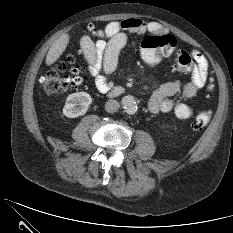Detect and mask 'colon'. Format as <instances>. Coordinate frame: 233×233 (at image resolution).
<instances>
[{"mask_svg": "<svg viewBox=\"0 0 233 233\" xmlns=\"http://www.w3.org/2000/svg\"><path fill=\"white\" fill-rule=\"evenodd\" d=\"M141 56L143 61L150 65L158 64L162 58L172 57L175 69L181 73H191L193 70V58L190 53L177 49V40L170 34H153L146 37L141 44ZM73 55L67 56L53 64L40 78L39 84L47 94L64 93L75 89L84 83V77L79 68L74 67L71 74L64 72L67 67L75 63ZM211 120V113L202 111L193 120V127L201 129Z\"/></svg>", "mask_w": 233, "mask_h": 233, "instance_id": "obj_1", "label": "colon"}]
</instances>
